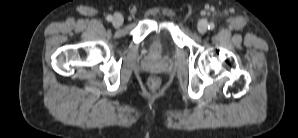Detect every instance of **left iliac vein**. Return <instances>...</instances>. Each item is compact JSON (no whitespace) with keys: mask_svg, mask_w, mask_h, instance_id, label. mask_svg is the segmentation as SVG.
I'll return each instance as SVG.
<instances>
[{"mask_svg":"<svg viewBox=\"0 0 298 138\" xmlns=\"http://www.w3.org/2000/svg\"><path fill=\"white\" fill-rule=\"evenodd\" d=\"M207 27H208V25H207V21L205 19L200 20L198 23V26H197L198 31L200 33H205L207 31Z\"/></svg>","mask_w":298,"mask_h":138,"instance_id":"4c4485c4","label":"left iliac vein"}]
</instances>
